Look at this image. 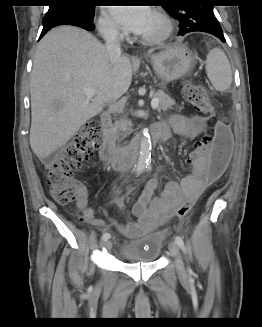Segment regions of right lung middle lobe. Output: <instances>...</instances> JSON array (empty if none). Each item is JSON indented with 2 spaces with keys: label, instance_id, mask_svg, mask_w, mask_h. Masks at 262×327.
I'll list each match as a JSON object with an SVG mask.
<instances>
[{
  "label": "right lung middle lobe",
  "instance_id": "dd1d6c3e",
  "mask_svg": "<svg viewBox=\"0 0 262 327\" xmlns=\"http://www.w3.org/2000/svg\"><path fill=\"white\" fill-rule=\"evenodd\" d=\"M62 1V0H61ZM68 2V4L50 6L47 13L55 12V11H64V12H74L86 17H94L95 6L94 5H85L80 6L71 3L73 0H63Z\"/></svg>",
  "mask_w": 262,
  "mask_h": 327
}]
</instances>
